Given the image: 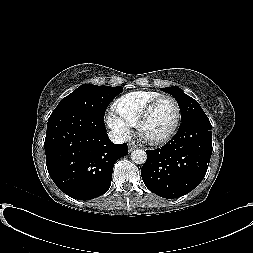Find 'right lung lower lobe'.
Here are the masks:
<instances>
[{"label":"right lung lower lobe","mask_w":253,"mask_h":253,"mask_svg":"<svg viewBox=\"0 0 253 253\" xmlns=\"http://www.w3.org/2000/svg\"><path fill=\"white\" fill-rule=\"evenodd\" d=\"M44 146L50 177L79 200L106 193L115 162L128 154L126 143L110 141L104 120L77 110L51 114Z\"/></svg>","instance_id":"right-lung-lower-lobe-1"}]
</instances>
